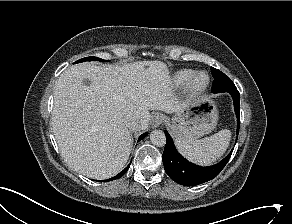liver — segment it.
<instances>
[{"label":"liver","instance_id":"6515ba94","mask_svg":"<svg viewBox=\"0 0 292 224\" xmlns=\"http://www.w3.org/2000/svg\"><path fill=\"white\" fill-rule=\"evenodd\" d=\"M185 106L174 97L162 61L81 63L67 68L55 84L51 124L62 157L75 171L107 179L120 172L130 156L129 119L145 130L149 110L177 113Z\"/></svg>","mask_w":292,"mask_h":224}]
</instances>
